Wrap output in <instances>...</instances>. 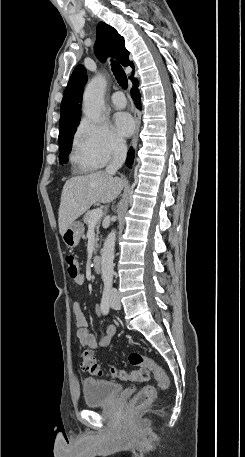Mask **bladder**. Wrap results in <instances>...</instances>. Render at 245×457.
Segmentation results:
<instances>
[{
    "label": "bladder",
    "mask_w": 245,
    "mask_h": 457,
    "mask_svg": "<svg viewBox=\"0 0 245 457\" xmlns=\"http://www.w3.org/2000/svg\"><path fill=\"white\" fill-rule=\"evenodd\" d=\"M121 390L120 383L106 380L87 379L83 382L85 406H94L110 402L113 395Z\"/></svg>",
    "instance_id": "bladder-1"
}]
</instances>
